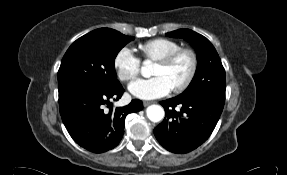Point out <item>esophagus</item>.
Returning <instances> with one entry per match:
<instances>
[{
  "mask_svg": "<svg viewBox=\"0 0 287 175\" xmlns=\"http://www.w3.org/2000/svg\"><path fill=\"white\" fill-rule=\"evenodd\" d=\"M151 103H153V102H152V101H143L144 107H147V106L150 105Z\"/></svg>",
  "mask_w": 287,
  "mask_h": 175,
  "instance_id": "esophagus-1",
  "label": "esophagus"
}]
</instances>
